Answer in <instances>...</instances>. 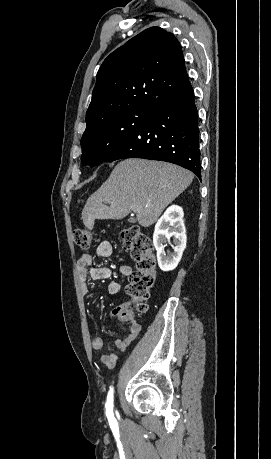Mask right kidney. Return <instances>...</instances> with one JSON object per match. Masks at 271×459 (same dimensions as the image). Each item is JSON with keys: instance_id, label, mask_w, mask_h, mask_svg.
Here are the masks:
<instances>
[{"instance_id": "ca27d5eb", "label": "right kidney", "mask_w": 271, "mask_h": 459, "mask_svg": "<svg viewBox=\"0 0 271 459\" xmlns=\"http://www.w3.org/2000/svg\"><path fill=\"white\" fill-rule=\"evenodd\" d=\"M183 216L184 212L180 206H170L155 226L153 243L157 249L159 267L163 271H170V269L177 267L186 247V228ZM172 235H174V251L166 255L165 251H163L165 247L164 243Z\"/></svg>"}]
</instances>
